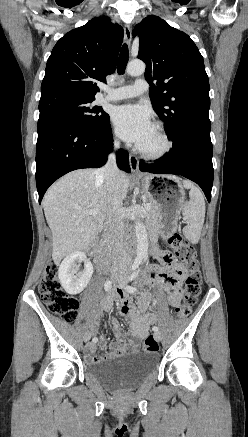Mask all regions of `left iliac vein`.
<instances>
[{"label":"left iliac vein","mask_w":248,"mask_h":437,"mask_svg":"<svg viewBox=\"0 0 248 437\" xmlns=\"http://www.w3.org/2000/svg\"><path fill=\"white\" fill-rule=\"evenodd\" d=\"M118 282H119L120 287H122V288H124L125 285L127 284V280L125 277H121ZM154 338L157 341H160L161 340V333L159 331L154 332Z\"/></svg>","instance_id":"4c4485c4"}]
</instances>
